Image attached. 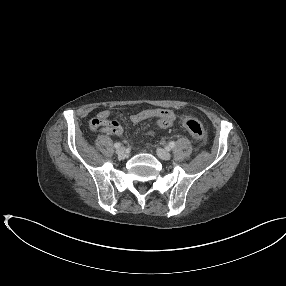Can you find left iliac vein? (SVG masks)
<instances>
[{"instance_id": "left-iliac-vein-1", "label": "left iliac vein", "mask_w": 286, "mask_h": 286, "mask_svg": "<svg viewBox=\"0 0 286 286\" xmlns=\"http://www.w3.org/2000/svg\"><path fill=\"white\" fill-rule=\"evenodd\" d=\"M156 153H157V156L162 160H170L171 159V154L162 148H158L156 150Z\"/></svg>"}]
</instances>
